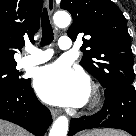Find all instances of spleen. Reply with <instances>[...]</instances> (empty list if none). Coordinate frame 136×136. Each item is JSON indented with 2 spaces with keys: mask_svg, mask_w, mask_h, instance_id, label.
<instances>
[{
  "mask_svg": "<svg viewBox=\"0 0 136 136\" xmlns=\"http://www.w3.org/2000/svg\"><path fill=\"white\" fill-rule=\"evenodd\" d=\"M84 136H125L123 133L110 129H100L89 132Z\"/></svg>",
  "mask_w": 136,
  "mask_h": 136,
  "instance_id": "obj_1",
  "label": "spleen"
}]
</instances>
